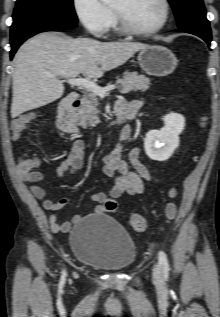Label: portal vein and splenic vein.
<instances>
[{"label":"portal vein and splenic vein","mask_w":220,"mask_h":317,"mask_svg":"<svg viewBox=\"0 0 220 317\" xmlns=\"http://www.w3.org/2000/svg\"><path fill=\"white\" fill-rule=\"evenodd\" d=\"M51 77H53V76H51ZM67 83L70 85H73V86L83 87V88L93 92L94 94L98 95L101 98H103L107 92L112 91L116 88L115 85H109L107 87H100L99 85L92 82L91 80L81 78V77L67 79Z\"/></svg>","instance_id":"obj_1"}]
</instances>
